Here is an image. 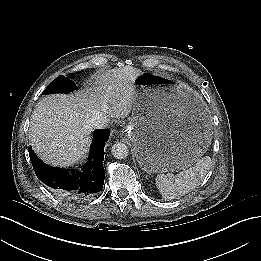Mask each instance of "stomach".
Returning <instances> with one entry per match:
<instances>
[{
  "label": "stomach",
  "instance_id": "stomach-1",
  "mask_svg": "<svg viewBox=\"0 0 261 261\" xmlns=\"http://www.w3.org/2000/svg\"><path fill=\"white\" fill-rule=\"evenodd\" d=\"M195 99L193 92L169 77L144 72L137 77L125 132L144 171L186 169L206 152L211 134L197 123Z\"/></svg>",
  "mask_w": 261,
  "mask_h": 261
}]
</instances>
